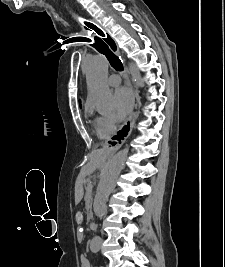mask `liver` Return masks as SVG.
<instances>
[{
	"instance_id": "obj_1",
	"label": "liver",
	"mask_w": 225,
	"mask_h": 267,
	"mask_svg": "<svg viewBox=\"0 0 225 267\" xmlns=\"http://www.w3.org/2000/svg\"><path fill=\"white\" fill-rule=\"evenodd\" d=\"M101 153H102L101 150H96V151L92 152L90 163L83 169L84 174L95 170L96 168H98L102 164L103 158L101 156ZM82 196H83L82 187L77 186L76 192H75L76 203L80 202V200L82 199Z\"/></svg>"
}]
</instances>
